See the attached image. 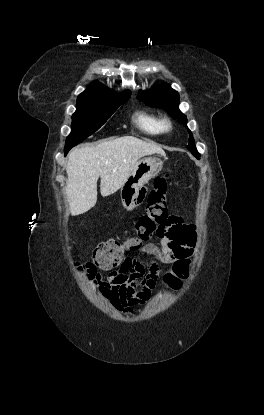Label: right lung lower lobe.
Listing matches in <instances>:
<instances>
[{"mask_svg": "<svg viewBox=\"0 0 264 415\" xmlns=\"http://www.w3.org/2000/svg\"><path fill=\"white\" fill-rule=\"evenodd\" d=\"M68 153V151H65V155Z\"/></svg>", "mask_w": 264, "mask_h": 415, "instance_id": "98d812e1", "label": "right lung lower lobe"}]
</instances>
